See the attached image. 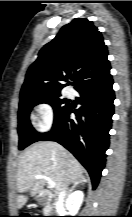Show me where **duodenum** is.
I'll return each mask as SVG.
<instances>
[{
	"mask_svg": "<svg viewBox=\"0 0 132 217\" xmlns=\"http://www.w3.org/2000/svg\"><path fill=\"white\" fill-rule=\"evenodd\" d=\"M40 197H41V198H44V199H50V198H51V195H50V193L47 192V191H42V192L40 193Z\"/></svg>",
	"mask_w": 132,
	"mask_h": 217,
	"instance_id": "1",
	"label": "duodenum"
}]
</instances>
